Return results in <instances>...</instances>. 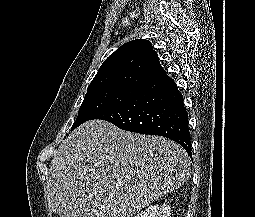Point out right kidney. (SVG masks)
Listing matches in <instances>:
<instances>
[{
  "mask_svg": "<svg viewBox=\"0 0 255 217\" xmlns=\"http://www.w3.org/2000/svg\"><path fill=\"white\" fill-rule=\"evenodd\" d=\"M171 207L167 204L151 205L146 210L141 211L135 217H170Z\"/></svg>",
  "mask_w": 255,
  "mask_h": 217,
  "instance_id": "obj_1",
  "label": "right kidney"
}]
</instances>
